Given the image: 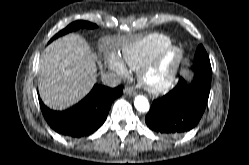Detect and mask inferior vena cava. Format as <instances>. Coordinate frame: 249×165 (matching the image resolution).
<instances>
[{"instance_id":"inferior-vena-cava-1","label":"inferior vena cava","mask_w":249,"mask_h":165,"mask_svg":"<svg viewBox=\"0 0 249 165\" xmlns=\"http://www.w3.org/2000/svg\"><path fill=\"white\" fill-rule=\"evenodd\" d=\"M102 82L109 87H116L121 83V78L114 73H104L102 75Z\"/></svg>"}]
</instances>
